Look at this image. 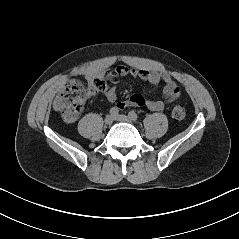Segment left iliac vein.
I'll return each instance as SVG.
<instances>
[{
    "instance_id": "4c4485c4",
    "label": "left iliac vein",
    "mask_w": 239,
    "mask_h": 239,
    "mask_svg": "<svg viewBox=\"0 0 239 239\" xmlns=\"http://www.w3.org/2000/svg\"><path fill=\"white\" fill-rule=\"evenodd\" d=\"M115 120L120 121V122H126V123H133L132 119L127 117L126 115H116L114 117Z\"/></svg>"
}]
</instances>
